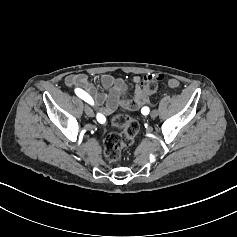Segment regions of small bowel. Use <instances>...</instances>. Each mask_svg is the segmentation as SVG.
I'll use <instances>...</instances> for the list:
<instances>
[{"label": "small bowel", "instance_id": "c3829d8e", "mask_svg": "<svg viewBox=\"0 0 237 237\" xmlns=\"http://www.w3.org/2000/svg\"><path fill=\"white\" fill-rule=\"evenodd\" d=\"M153 77L147 75L145 77H135V94L133 100L128 104L131 108L138 109L149 103L148 96L143 92V84L151 80ZM100 85L109 92H98L94 83L85 74H71L65 78V84L74 90L81 89L92 98V105L98 109L101 115H109L113 113L121 103V92L123 82L109 74H103L99 79ZM179 82L176 79H170L168 86L171 88L178 87Z\"/></svg>", "mask_w": 237, "mask_h": 237}]
</instances>
